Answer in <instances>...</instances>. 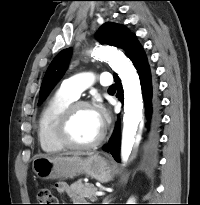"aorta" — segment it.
<instances>
[{
    "mask_svg": "<svg viewBox=\"0 0 200 205\" xmlns=\"http://www.w3.org/2000/svg\"><path fill=\"white\" fill-rule=\"evenodd\" d=\"M92 55L101 61H107L118 74L124 90V116L122 132V156H126L135 140L136 131L143 117V99L139 76L132 62L116 47L105 45L95 47Z\"/></svg>",
    "mask_w": 200,
    "mask_h": 205,
    "instance_id": "obj_1",
    "label": "aorta"
}]
</instances>
